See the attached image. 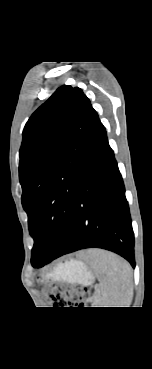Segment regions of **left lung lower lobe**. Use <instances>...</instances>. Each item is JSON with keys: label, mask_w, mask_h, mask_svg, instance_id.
Listing matches in <instances>:
<instances>
[{"label": "left lung lower lobe", "mask_w": 152, "mask_h": 369, "mask_svg": "<svg viewBox=\"0 0 152 369\" xmlns=\"http://www.w3.org/2000/svg\"><path fill=\"white\" fill-rule=\"evenodd\" d=\"M84 167L63 243L52 258L36 268L64 254L92 247L113 251L134 268V233L124 183L100 120L85 153Z\"/></svg>", "instance_id": "obj_1"}]
</instances>
